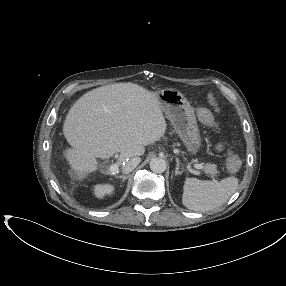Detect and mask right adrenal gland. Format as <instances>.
Returning <instances> with one entry per match:
<instances>
[{"label":"right adrenal gland","mask_w":286,"mask_h":286,"mask_svg":"<svg viewBox=\"0 0 286 286\" xmlns=\"http://www.w3.org/2000/svg\"><path fill=\"white\" fill-rule=\"evenodd\" d=\"M128 177H129L128 175H121V176H119V178H121L123 182H124V180H126Z\"/></svg>","instance_id":"2a0ac1e0"}]
</instances>
